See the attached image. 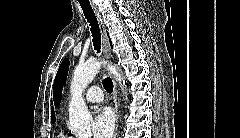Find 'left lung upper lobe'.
<instances>
[{"label":"left lung upper lobe","mask_w":240,"mask_h":138,"mask_svg":"<svg viewBox=\"0 0 240 138\" xmlns=\"http://www.w3.org/2000/svg\"><path fill=\"white\" fill-rule=\"evenodd\" d=\"M111 44V40H110ZM69 69V60L65 59L59 66L58 72L56 74L55 80H54V91H53V97H54V103L56 106H59L62 98V89L63 85L67 79Z\"/></svg>","instance_id":"left-lung-upper-lobe-1"}]
</instances>
